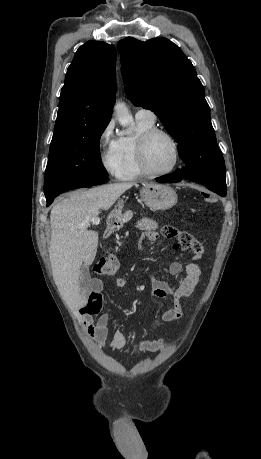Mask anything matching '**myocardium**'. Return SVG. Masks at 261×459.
<instances>
[{"mask_svg":"<svg viewBox=\"0 0 261 459\" xmlns=\"http://www.w3.org/2000/svg\"><path fill=\"white\" fill-rule=\"evenodd\" d=\"M157 135L166 136L172 143L174 149V161L171 167L162 172H155L150 169L147 160V150L150 141ZM137 160L143 174L151 177H163L171 174L177 168L180 161V146L175 136L162 128H151L142 133L137 140Z\"/></svg>","mask_w":261,"mask_h":459,"instance_id":"f54148a6","label":"myocardium"}]
</instances>
